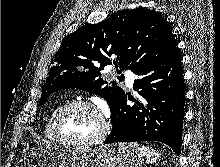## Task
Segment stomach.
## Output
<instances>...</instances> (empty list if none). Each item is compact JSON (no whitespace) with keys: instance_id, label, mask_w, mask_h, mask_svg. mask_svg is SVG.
Here are the masks:
<instances>
[{"instance_id":"stomach-1","label":"stomach","mask_w":220,"mask_h":167,"mask_svg":"<svg viewBox=\"0 0 220 167\" xmlns=\"http://www.w3.org/2000/svg\"><path fill=\"white\" fill-rule=\"evenodd\" d=\"M144 154L136 143L64 149L32 142L23 155L24 167H142Z\"/></svg>"}]
</instances>
